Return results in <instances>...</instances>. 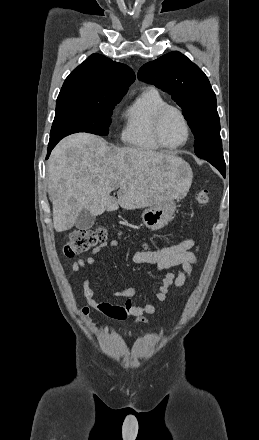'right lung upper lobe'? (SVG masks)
Returning <instances> with one entry per match:
<instances>
[{"label": "right lung upper lobe", "instance_id": "right-lung-upper-lobe-1", "mask_svg": "<svg viewBox=\"0 0 259 440\" xmlns=\"http://www.w3.org/2000/svg\"><path fill=\"white\" fill-rule=\"evenodd\" d=\"M134 80L135 74L130 67L96 53L70 73L58 98L122 99Z\"/></svg>", "mask_w": 259, "mask_h": 440}]
</instances>
